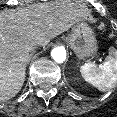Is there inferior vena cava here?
<instances>
[{
    "instance_id": "inferior-vena-cava-1",
    "label": "inferior vena cava",
    "mask_w": 117,
    "mask_h": 117,
    "mask_svg": "<svg viewBox=\"0 0 117 117\" xmlns=\"http://www.w3.org/2000/svg\"><path fill=\"white\" fill-rule=\"evenodd\" d=\"M37 48L35 47V46H30L29 48H28V53L30 54V55H35L36 53H37Z\"/></svg>"
}]
</instances>
